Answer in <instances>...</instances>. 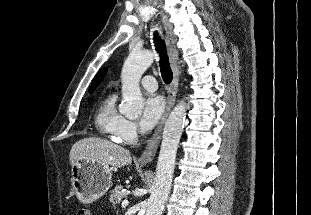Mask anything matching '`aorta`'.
I'll list each match as a JSON object with an SVG mask.
<instances>
[{"label":"aorta","mask_w":311,"mask_h":215,"mask_svg":"<svg viewBox=\"0 0 311 215\" xmlns=\"http://www.w3.org/2000/svg\"><path fill=\"white\" fill-rule=\"evenodd\" d=\"M153 60V52L142 50L132 51L124 62L121 72L123 101L120 112L129 119H134L142 113L144 100L139 81ZM185 117V103L180 101L171 111L164 126L153 190L148 199L146 215H161L164 208L171 188L176 153L183 132Z\"/></svg>","instance_id":"1"}]
</instances>
